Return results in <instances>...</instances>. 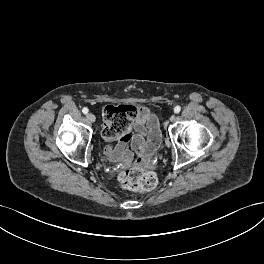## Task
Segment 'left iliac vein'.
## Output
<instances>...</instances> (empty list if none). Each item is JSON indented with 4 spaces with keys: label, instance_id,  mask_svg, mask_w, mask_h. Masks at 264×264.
Here are the masks:
<instances>
[{
    "label": "left iliac vein",
    "instance_id": "1",
    "mask_svg": "<svg viewBox=\"0 0 264 264\" xmlns=\"http://www.w3.org/2000/svg\"><path fill=\"white\" fill-rule=\"evenodd\" d=\"M176 120V116L175 115H172L171 117H170V121L171 122H174Z\"/></svg>",
    "mask_w": 264,
    "mask_h": 264
}]
</instances>
